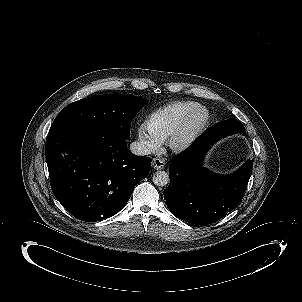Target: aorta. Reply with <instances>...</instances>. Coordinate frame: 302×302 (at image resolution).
<instances>
[{"label":"aorta","instance_id":"1","mask_svg":"<svg viewBox=\"0 0 302 302\" xmlns=\"http://www.w3.org/2000/svg\"><path fill=\"white\" fill-rule=\"evenodd\" d=\"M152 181L156 186H166L169 181V174L165 171H157L153 174Z\"/></svg>","mask_w":302,"mask_h":302}]
</instances>
